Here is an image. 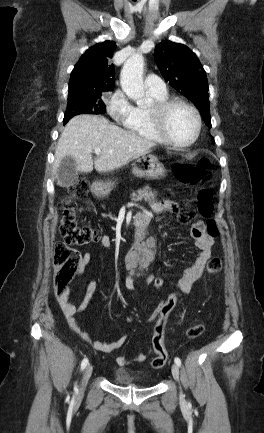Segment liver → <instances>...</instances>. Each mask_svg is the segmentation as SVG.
<instances>
[{
  "label": "liver",
  "instance_id": "1",
  "mask_svg": "<svg viewBox=\"0 0 264 433\" xmlns=\"http://www.w3.org/2000/svg\"><path fill=\"white\" fill-rule=\"evenodd\" d=\"M155 145L110 123L104 117L78 115L66 124L60 135L53 174H57L58 166L65 156L75 160L77 171L89 173L94 167L98 172H108L149 153ZM96 148L101 149V153L93 162L91 153Z\"/></svg>",
  "mask_w": 264,
  "mask_h": 433
}]
</instances>
